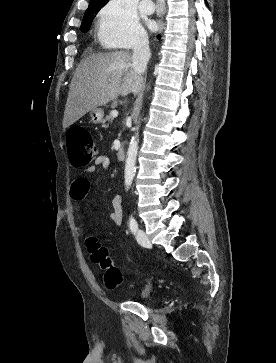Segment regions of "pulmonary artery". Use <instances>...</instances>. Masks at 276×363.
<instances>
[{
    "label": "pulmonary artery",
    "mask_w": 276,
    "mask_h": 363,
    "mask_svg": "<svg viewBox=\"0 0 276 363\" xmlns=\"http://www.w3.org/2000/svg\"><path fill=\"white\" fill-rule=\"evenodd\" d=\"M139 8L144 14H152L154 11V4L150 0H142L139 4Z\"/></svg>",
    "instance_id": "obj_1"
}]
</instances>
